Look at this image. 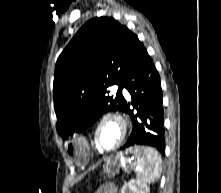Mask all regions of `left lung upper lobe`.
<instances>
[{
  "instance_id": "obj_1",
  "label": "left lung upper lobe",
  "mask_w": 221,
  "mask_h": 193,
  "mask_svg": "<svg viewBox=\"0 0 221 193\" xmlns=\"http://www.w3.org/2000/svg\"><path fill=\"white\" fill-rule=\"evenodd\" d=\"M140 44L134 33L111 17H95L80 28L55 67L56 128L63 139L86 129L105 112L124 110L121 89L114 95L109 87H121ZM155 116V109H150L147 117Z\"/></svg>"
}]
</instances>
